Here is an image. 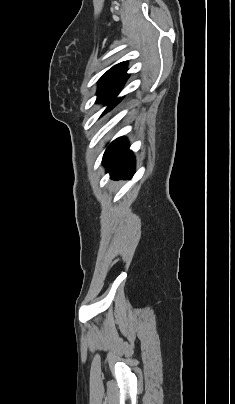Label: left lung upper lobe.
Instances as JSON below:
<instances>
[{
	"label": "left lung upper lobe",
	"instance_id": "1",
	"mask_svg": "<svg viewBox=\"0 0 235 404\" xmlns=\"http://www.w3.org/2000/svg\"><path fill=\"white\" fill-rule=\"evenodd\" d=\"M126 69L127 62L119 63L109 69L99 79L96 102H106L108 104L104 113L112 109L121 100V98H116V96L129 77Z\"/></svg>",
	"mask_w": 235,
	"mask_h": 404
}]
</instances>
